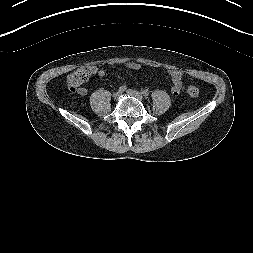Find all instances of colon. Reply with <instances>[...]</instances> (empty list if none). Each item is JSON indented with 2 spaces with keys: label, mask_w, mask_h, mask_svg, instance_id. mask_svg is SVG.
<instances>
[{
  "label": "colon",
  "mask_w": 253,
  "mask_h": 253,
  "mask_svg": "<svg viewBox=\"0 0 253 253\" xmlns=\"http://www.w3.org/2000/svg\"><path fill=\"white\" fill-rule=\"evenodd\" d=\"M92 72L89 67H81L75 70L67 79V86L72 92H78L82 85L90 78ZM187 94L196 98L199 95V89L195 85L187 88Z\"/></svg>",
  "instance_id": "5ec220e1"
}]
</instances>
